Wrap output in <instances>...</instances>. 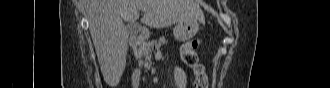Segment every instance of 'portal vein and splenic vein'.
Segmentation results:
<instances>
[{"label":"portal vein and splenic vein","mask_w":330,"mask_h":88,"mask_svg":"<svg viewBox=\"0 0 330 88\" xmlns=\"http://www.w3.org/2000/svg\"><path fill=\"white\" fill-rule=\"evenodd\" d=\"M142 11H146V9H142Z\"/></svg>","instance_id":"obj_1"}]
</instances>
